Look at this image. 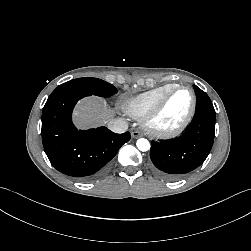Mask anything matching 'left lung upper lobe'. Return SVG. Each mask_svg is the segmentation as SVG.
<instances>
[{"instance_id": "1", "label": "left lung upper lobe", "mask_w": 251, "mask_h": 251, "mask_svg": "<svg viewBox=\"0 0 251 251\" xmlns=\"http://www.w3.org/2000/svg\"><path fill=\"white\" fill-rule=\"evenodd\" d=\"M194 90L197 96L195 112L204 111L207 113L215 114L213 104L208 95L197 86H194Z\"/></svg>"}]
</instances>
